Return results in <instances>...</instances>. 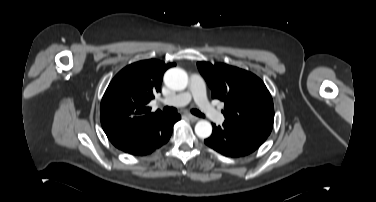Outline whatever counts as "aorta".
Segmentation results:
<instances>
[{
	"instance_id": "1",
	"label": "aorta",
	"mask_w": 376,
	"mask_h": 202,
	"mask_svg": "<svg viewBox=\"0 0 376 202\" xmlns=\"http://www.w3.org/2000/svg\"><path fill=\"white\" fill-rule=\"evenodd\" d=\"M164 82L169 88L182 91L188 86V75L183 69L172 68L165 73ZM195 133L199 138H208L212 133V125L206 120H200L195 125Z\"/></svg>"
}]
</instances>
